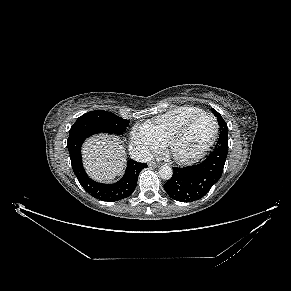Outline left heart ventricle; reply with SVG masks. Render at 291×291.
Returning <instances> with one entry per match:
<instances>
[{
	"label": "left heart ventricle",
	"instance_id": "1",
	"mask_svg": "<svg viewBox=\"0 0 291 291\" xmlns=\"http://www.w3.org/2000/svg\"><path fill=\"white\" fill-rule=\"evenodd\" d=\"M214 121L208 116L196 120L175 144L174 151L182 157H189L200 152L210 141L214 133Z\"/></svg>",
	"mask_w": 291,
	"mask_h": 291
}]
</instances>
